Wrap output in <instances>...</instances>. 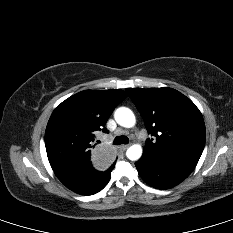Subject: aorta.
<instances>
[{
    "label": "aorta",
    "mask_w": 233,
    "mask_h": 233,
    "mask_svg": "<svg viewBox=\"0 0 233 233\" xmlns=\"http://www.w3.org/2000/svg\"><path fill=\"white\" fill-rule=\"evenodd\" d=\"M114 118L120 126L125 128H131L136 123L134 113L126 107L118 108L114 113ZM126 156L132 161L138 160L142 156V147L139 144L130 146L126 151Z\"/></svg>",
    "instance_id": "1"
}]
</instances>
